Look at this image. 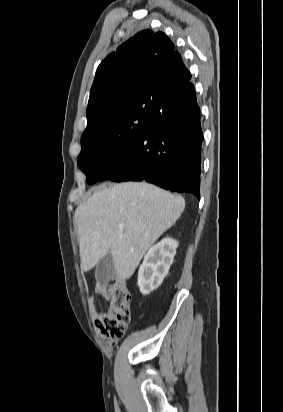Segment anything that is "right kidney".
<instances>
[{
    "mask_svg": "<svg viewBox=\"0 0 283 412\" xmlns=\"http://www.w3.org/2000/svg\"><path fill=\"white\" fill-rule=\"evenodd\" d=\"M177 247L176 240L164 238L149 248L138 271V286L143 295L150 294L161 285L173 263Z\"/></svg>",
    "mask_w": 283,
    "mask_h": 412,
    "instance_id": "1",
    "label": "right kidney"
}]
</instances>
